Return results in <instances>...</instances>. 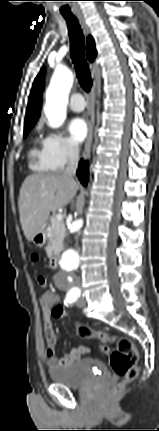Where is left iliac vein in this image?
I'll return each instance as SVG.
<instances>
[{"mask_svg":"<svg viewBox=\"0 0 159 431\" xmlns=\"http://www.w3.org/2000/svg\"><path fill=\"white\" fill-rule=\"evenodd\" d=\"M85 299H84V297L83 296H81V297H79V299L77 300V306L79 307V308H82V307H84L85 306Z\"/></svg>","mask_w":159,"mask_h":431,"instance_id":"left-iliac-vein-1","label":"left iliac vein"}]
</instances>
